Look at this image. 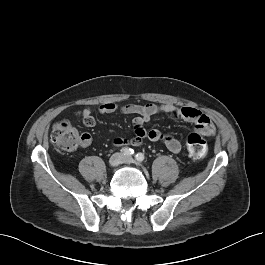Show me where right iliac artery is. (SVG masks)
<instances>
[{
    "label": "right iliac artery",
    "mask_w": 265,
    "mask_h": 265,
    "mask_svg": "<svg viewBox=\"0 0 265 265\" xmlns=\"http://www.w3.org/2000/svg\"><path fill=\"white\" fill-rule=\"evenodd\" d=\"M121 152L124 154V155H127V156H131L134 154V150L131 149V148H122Z\"/></svg>",
    "instance_id": "82829eb1"
}]
</instances>
